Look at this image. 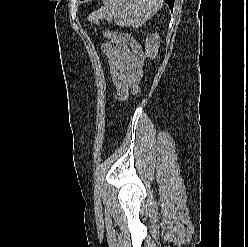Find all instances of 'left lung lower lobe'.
Returning <instances> with one entry per match:
<instances>
[{
    "label": "left lung lower lobe",
    "mask_w": 248,
    "mask_h": 247,
    "mask_svg": "<svg viewBox=\"0 0 248 247\" xmlns=\"http://www.w3.org/2000/svg\"><path fill=\"white\" fill-rule=\"evenodd\" d=\"M170 7L171 10H173V6H174V0H164Z\"/></svg>",
    "instance_id": "left-lung-lower-lobe-1"
}]
</instances>
